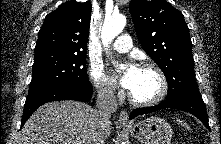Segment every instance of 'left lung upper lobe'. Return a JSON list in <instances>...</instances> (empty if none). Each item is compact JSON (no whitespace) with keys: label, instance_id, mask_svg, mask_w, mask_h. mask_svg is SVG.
<instances>
[{"label":"left lung upper lobe","instance_id":"5c2ea615","mask_svg":"<svg viewBox=\"0 0 221 144\" xmlns=\"http://www.w3.org/2000/svg\"><path fill=\"white\" fill-rule=\"evenodd\" d=\"M129 9L142 48L163 71L166 99L201 100L192 57L189 28L183 14L166 0H131Z\"/></svg>","mask_w":221,"mask_h":144}]
</instances>
